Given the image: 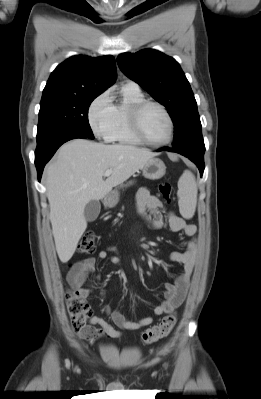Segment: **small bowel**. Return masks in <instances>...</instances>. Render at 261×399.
<instances>
[{"instance_id":"small-bowel-1","label":"small bowel","mask_w":261,"mask_h":399,"mask_svg":"<svg viewBox=\"0 0 261 399\" xmlns=\"http://www.w3.org/2000/svg\"><path fill=\"white\" fill-rule=\"evenodd\" d=\"M136 209L139 216L153 229H160L165 223L173 232H181L187 237H193L196 227L187 223L181 216L174 212H168L166 216L162 215L164 206L162 202L146 188H141L136 195ZM185 250L183 252H172L170 259L183 265V272L177 278L175 284H166L164 300L155 307L154 314L161 316L171 313L179 307L187 294L192 272L194 270L196 257L198 254L197 241L192 238L184 242ZM111 253V255H110ZM106 260L113 264H119L122 258L115 247H108L106 250L98 252L97 257H90L77 262L68 272L67 281L70 287L76 291L82 299L88 298L93 289L85 287L84 283L88 276L94 272L96 261ZM105 313L111 318L113 323L123 330L142 329L153 322L152 317H145L139 321L128 319L120 310H111L105 307ZM121 331L99 316H93L90 319V326L87 327L85 335H79L81 338L93 341L102 337L119 338Z\"/></svg>"}]
</instances>
